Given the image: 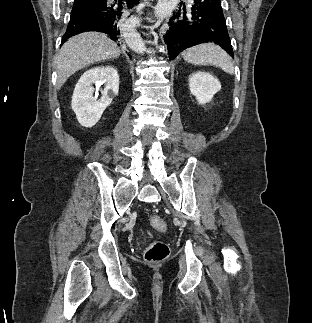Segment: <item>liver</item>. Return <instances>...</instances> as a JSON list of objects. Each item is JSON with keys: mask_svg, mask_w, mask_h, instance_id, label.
I'll list each match as a JSON object with an SVG mask.
<instances>
[{"mask_svg": "<svg viewBox=\"0 0 312 323\" xmlns=\"http://www.w3.org/2000/svg\"><path fill=\"white\" fill-rule=\"evenodd\" d=\"M120 54L117 44L101 32H83L69 38L62 46L56 62L57 90L78 70L96 62L117 58Z\"/></svg>", "mask_w": 312, "mask_h": 323, "instance_id": "obj_1", "label": "liver"}]
</instances>
